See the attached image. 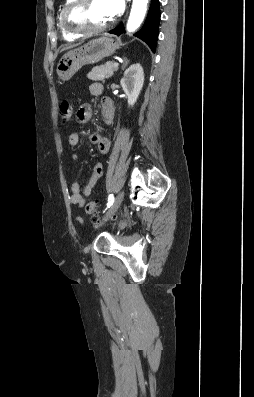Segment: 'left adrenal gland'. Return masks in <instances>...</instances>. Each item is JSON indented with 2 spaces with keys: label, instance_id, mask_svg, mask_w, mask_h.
Returning <instances> with one entry per match:
<instances>
[{
  "label": "left adrenal gland",
  "instance_id": "obj_1",
  "mask_svg": "<svg viewBox=\"0 0 254 397\" xmlns=\"http://www.w3.org/2000/svg\"><path fill=\"white\" fill-rule=\"evenodd\" d=\"M128 63H129V60L126 57H124V63L122 65V69H124L128 65Z\"/></svg>",
  "mask_w": 254,
  "mask_h": 397
}]
</instances>
